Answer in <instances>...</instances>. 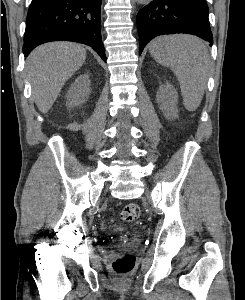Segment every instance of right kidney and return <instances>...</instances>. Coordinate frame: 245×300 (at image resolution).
I'll use <instances>...</instances> for the list:
<instances>
[{
  "mask_svg": "<svg viewBox=\"0 0 245 300\" xmlns=\"http://www.w3.org/2000/svg\"><path fill=\"white\" fill-rule=\"evenodd\" d=\"M90 93V80L87 74L79 76L66 95L68 107L79 106L86 101Z\"/></svg>",
  "mask_w": 245,
  "mask_h": 300,
  "instance_id": "1",
  "label": "right kidney"
}]
</instances>
